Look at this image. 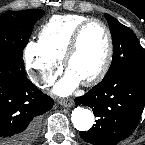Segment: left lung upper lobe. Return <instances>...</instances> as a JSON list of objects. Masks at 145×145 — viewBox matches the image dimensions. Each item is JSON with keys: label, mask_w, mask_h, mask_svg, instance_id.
Instances as JSON below:
<instances>
[{"label": "left lung upper lobe", "mask_w": 145, "mask_h": 145, "mask_svg": "<svg viewBox=\"0 0 145 145\" xmlns=\"http://www.w3.org/2000/svg\"><path fill=\"white\" fill-rule=\"evenodd\" d=\"M105 18L113 40V59L104 78L124 70L145 73V54L133 31L108 14H105Z\"/></svg>", "instance_id": "left-lung-upper-lobe-1"}]
</instances>
